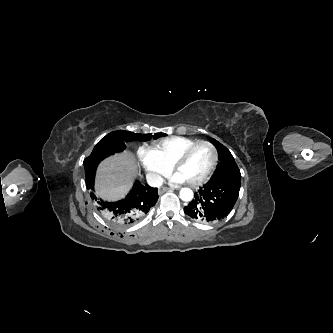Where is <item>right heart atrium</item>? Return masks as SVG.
<instances>
[{"label":"right heart atrium","mask_w":333,"mask_h":333,"mask_svg":"<svg viewBox=\"0 0 333 333\" xmlns=\"http://www.w3.org/2000/svg\"><path fill=\"white\" fill-rule=\"evenodd\" d=\"M137 157L151 183L159 184L162 178L169 173V167L159 159L153 149L145 146L140 147L137 151Z\"/></svg>","instance_id":"d8ad5b80"}]
</instances>
